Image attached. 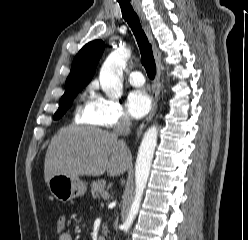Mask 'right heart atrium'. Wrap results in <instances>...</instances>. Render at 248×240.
Listing matches in <instances>:
<instances>
[{
	"mask_svg": "<svg viewBox=\"0 0 248 240\" xmlns=\"http://www.w3.org/2000/svg\"><path fill=\"white\" fill-rule=\"evenodd\" d=\"M90 91L91 97L81 115L87 123L105 128L130 124L127 112L118 101L101 94L97 84H92Z\"/></svg>",
	"mask_w": 248,
	"mask_h": 240,
	"instance_id": "1",
	"label": "right heart atrium"
}]
</instances>
